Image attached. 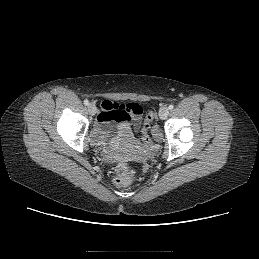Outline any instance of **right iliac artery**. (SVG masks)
I'll return each mask as SVG.
<instances>
[{
	"instance_id": "1",
	"label": "right iliac artery",
	"mask_w": 259,
	"mask_h": 259,
	"mask_svg": "<svg viewBox=\"0 0 259 259\" xmlns=\"http://www.w3.org/2000/svg\"><path fill=\"white\" fill-rule=\"evenodd\" d=\"M84 104L85 105H88L89 104V101L86 99V100H84Z\"/></svg>"
}]
</instances>
